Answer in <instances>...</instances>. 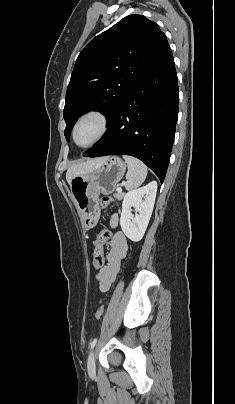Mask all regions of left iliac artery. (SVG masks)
<instances>
[{"label":"left iliac artery","instance_id":"left-iliac-artery-1","mask_svg":"<svg viewBox=\"0 0 235 404\" xmlns=\"http://www.w3.org/2000/svg\"><path fill=\"white\" fill-rule=\"evenodd\" d=\"M97 343V338H95L91 343H90V349L92 350L94 348V346Z\"/></svg>","mask_w":235,"mask_h":404}]
</instances>
